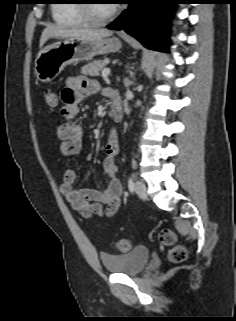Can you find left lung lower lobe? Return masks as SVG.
I'll return each instance as SVG.
<instances>
[{
    "label": "left lung lower lobe",
    "mask_w": 236,
    "mask_h": 321,
    "mask_svg": "<svg viewBox=\"0 0 236 321\" xmlns=\"http://www.w3.org/2000/svg\"><path fill=\"white\" fill-rule=\"evenodd\" d=\"M172 0H129V8L113 23L112 30H125L145 47L168 52L169 21L177 3Z\"/></svg>",
    "instance_id": "1"
}]
</instances>
